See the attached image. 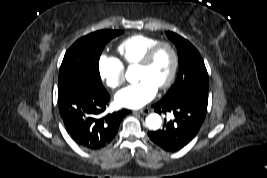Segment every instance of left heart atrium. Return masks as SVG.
<instances>
[{
	"label": "left heart atrium",
	"mask_w": 267,
	"mask_h": 178,
	"mask_svg": "<svg viewBox=\"0 0 267 178\" xmlns=\"http://www.w3.org/2000/svg\"><path fill=\"white\" fill-rule=\"evenodd\" d=\"M158 87L148 79L126 86L115 96L119 106L138 109L149 103L157 94Z\"/></svg>",
	"instance_id": "left-heart-atrium-1"
}]
</instances>
